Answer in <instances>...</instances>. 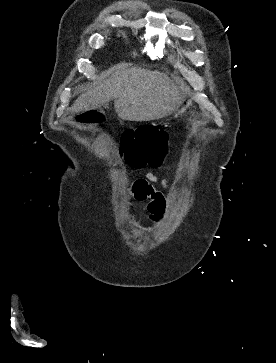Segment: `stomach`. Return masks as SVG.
Segmentation results:
<instances>
[{
  "label": "stomach",
  "instance_id": "obj_1",
  "mask_svg": "<svg viewBox=\"0 0 276 363\" xmlns=\"http://www.w3.org/2000/svg\"><path fill=\"white\" fill-rule=\"evenodd\" d=\"M190 103L191 101L189 99L184 98L181 104L170 115H172L173 117H177L186 110Z\"/></svg>",
  "mask_w": 276,
  "mask_h": 363
}]
</instances>
